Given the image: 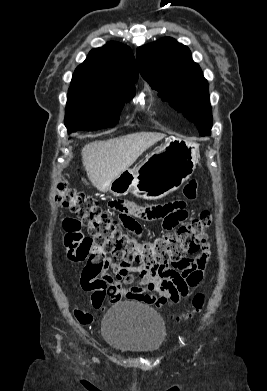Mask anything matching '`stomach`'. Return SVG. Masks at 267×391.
Returning <instances> with one entry per match:
<instances>
[{
    "instance_id": "obj_1",
    "label": "stomach",
    "mask_w": 267,
    "mask_h": 391,
    "mask_svg": "<svg viewBox=\"0 0 267 391\" xmlns=\"http://www.w3.org/2000/svg\"><path fill=\"white\" fill-rule=\"evenodd\" d=\"M199 156L198 144L170 137L134 169L123 171L108 190L114 196L132 193L144 199H160L179 189L192 175Z\"/></svg>"
}]
</instances>
